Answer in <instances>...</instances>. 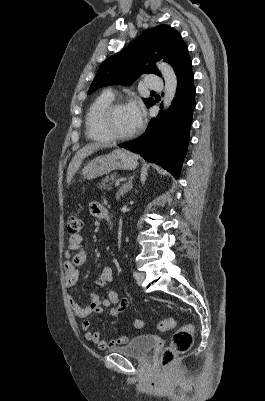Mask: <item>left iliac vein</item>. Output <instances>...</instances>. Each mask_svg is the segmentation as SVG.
Returning a JSON list of instances; mask_svg holds the SVG:
<instances>
[{
    "label": "left iliac vein",
    "instance_id": "obj_1",
    "mask_svg": "<svg viewBox=\"0 0 265 401\" xmlns=\"http://www.w3.org/2000/svg\"><path fill=\"white\" fill-rule=\"evenodd\" d=\"M145 279V273L144 272H137V283L141 284L143 282V280Z\"/></svg>",
    "mask_w": 265,
    "mask_h": 401
}]
</instances>
